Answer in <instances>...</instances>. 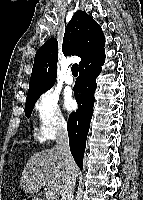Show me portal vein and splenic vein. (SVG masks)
Masks as SVG:
<instances>
[{"mask_svg":"<svg viewBox=\"0 0 143 200\" xmlns=\"http://www.w3.org/2000/svg\"><path fill=\"white\" fill-rule=\"evenodd\" d=\"M45 197L47 200H54L53 194L50 193L49 191L45 192Z\"/></svg>","mask_w":143,"mask_h":200,"instance_id":"18ae733b","label":"portal vein and splenic vein"}]
</instances>
